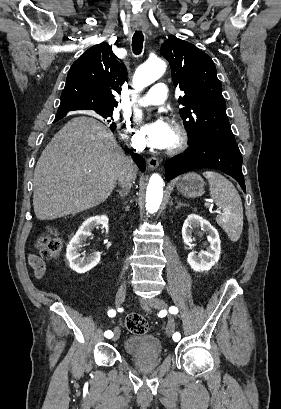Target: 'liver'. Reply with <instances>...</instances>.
<instances>
[{"label":"liver","instance_id":"6515ba94","mask_svg":"<svg viewBox=\"0 0 281 409\" xmlns=\"http://www.w3.org/2000/svg\"><path fill=\"white\" fill-rule=\"evenodd\" d=\"M127 158L100 120L76 116L45 146L34 170L37 219L52 221L104 202Z\"/></svg>","mask_w":281,"mask_h":409}]
</instances>
